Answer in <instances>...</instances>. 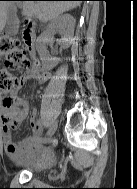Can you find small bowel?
<instances>
[{"mask_svg": "<svg viewBox=\"0 0 137 189\" xmlns=\"http://www.w3.org/2000/svg\"><path fill=\"white\" fill-rule=\"evenodd\" d=\"M50 77L49 72L39 63H34L33 67L27 71L21 78L24 83L29 79H35L39 83L47 81ZM11 104L0 103L1 130L5 141V152L10 160L17 164H23L29 160L44 162L49 159L51 152L49 148L40 147L36 139L42 132V125L37 120L35 110L31 112V131L32 134L21 141L15 143L11 140L10 132L18 128L29 114L28 103L18 95V90L11 97Z\"/></svg>", "mask_w": 137, "mask_h": 189, "instance_id": "obj_1", "label": "small bowel"}]
</instances>
